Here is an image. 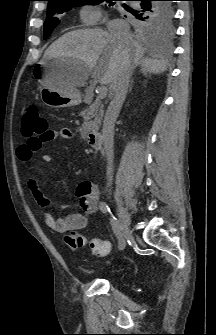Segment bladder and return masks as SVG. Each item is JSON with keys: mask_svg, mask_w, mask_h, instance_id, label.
<instances>
[{"mask_svg": "<svg viewBox=\"0 0 216 335\" xmlns=\"http://www.w3.org/2000/svg\"><path fill=\"white\" fill-rule=\"evenodd\" d=\"M84 271L87 272V273H90V272H91L90 269H84Z\"/></svg>", "mask_w": 216, "mask_h": 335, "instance_id": "31cf9c89", "label": "bladder"}]
</instances>
